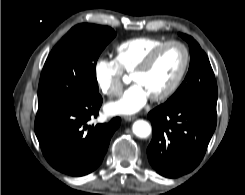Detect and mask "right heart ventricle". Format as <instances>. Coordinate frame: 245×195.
Listing matches in <instances>:
<instances>
[{"mask_svg": "<svg viewBox=\"0 0 245 195\" xmlns=\"http://www.w3.org/2000/svg\"><path fill=\"white\" fill-rule=\"evenodd\" d=\"M164 42L161 39L148 37L129 39L116 47L115 60L122 71L132 73L148 53Z\"/></svg>", "mask_w": 245, "mask_h": 195, "instance_id": "obj_1", "label": "right heart ventricle"}]
</instances>
